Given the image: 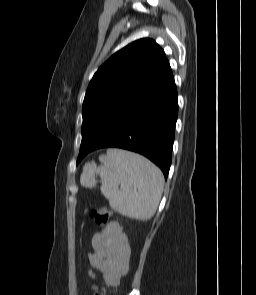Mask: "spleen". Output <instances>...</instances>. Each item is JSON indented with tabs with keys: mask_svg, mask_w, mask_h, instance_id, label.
Wrapping results in <instances>:
<instances>
[{
	"mask_svg": "<svg viewBox=\"0 0 256 295\" xmlns=\"http://www.w3.org/2000/svg\"><path fill=\"white\" fill-rule=\"evenodd\" d=\"M99 160L98 167L94 162L84 166L81 184L95 187L98 174L102 180L100 191L112 209L138 220L152 218L164 188L161 170L147 158L120 149H108Z\"/></svg>",
	"mask_w": 256,
	"mask_h": 295,
	"instance_id": "spleen-1",
	"label": "spleen"
}]
</instances>
